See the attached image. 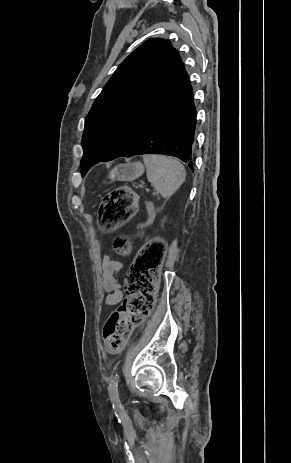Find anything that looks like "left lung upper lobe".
Masks as SVG:
<instances>
[{"label": "left lung upper lobe", "mask_w": 291, "mask_h": 463, "mask_svg": "<svg viewBox=\"0 0 291 463\" xmlns=\"http://www.w3.org/2000/svg\"><path fill=\"white\" fill-rule=\"evenodd\" d=\"M190 84L178 51L153 38L117 68L85 119L81 174L130 151Z\"/></svg>", "instance_id": "left-lung-upper-lobe-1"}]
</instances>
